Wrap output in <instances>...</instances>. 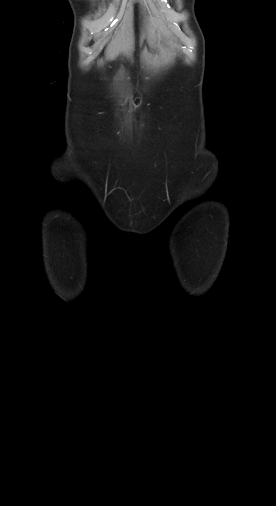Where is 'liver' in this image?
I'll list each match as a JSON object with an SVG mask.
<instances>
[{
    "mask_svg": "<svg viewBox=\"0 0 276 506\" xmlns=\"http://www.w3.org/2000/svg\"><path fill=\"white\" fill-rule=\"evenodd\" d=\"M165 19L170 20V18L167 15L163 14L162 12H160V16L157 17V18H155V24L158 27V29H159V31L161 32L162 35H164L166 37H171L172 33L166 27V24L164 22Z\"/></svg>",
    "mask_w": 276,
    "mask_h": 506,
    "instance_id": "obj_1",
    "label": "liver"
}]
</instances>
